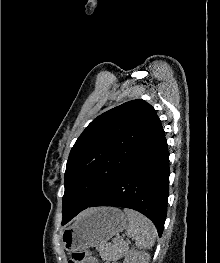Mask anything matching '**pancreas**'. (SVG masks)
I'll return each mask as SVG.
<instances>
[{
  "label": "pancreas",
  "mask_w": 220,
  "mask_h": 263,
  "mask_svg": "<svg viewBox=\"0 0 220 263\" xmlns=\"http://www.w3.org/2000/svg\"><path fill=\"white\" fill-rule=\"evenodd\" d=\"M123 246L119 243L106 244L99 248L100 256L107 261H114L121 257Z\"/></svg>",
  "instance_id": "pancreas-1"
}]
</instances>
